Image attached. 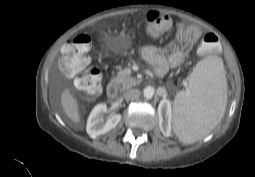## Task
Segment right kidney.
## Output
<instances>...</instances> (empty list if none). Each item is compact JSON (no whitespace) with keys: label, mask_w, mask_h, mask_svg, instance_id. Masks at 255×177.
Segmentation results:
<instances>
[{"label":"right kidney","mask_w":255,"mask_h":177,"mask_svg":"<svg viewBox=\"0 0 255 177\" xmlns=\"http://www.w3.org/2000/svg\"><path fill=\"white\" fill-rule=\"evenodd\" d=\"M106 111L107 105L104 103L96 105L91 111L86 126V131L91 138L107 133L112 128H115L121 120L120 114H112L104 122L103 115Z\"/></svg>","instance_id":"ca27d5eb"}]
</instances>
